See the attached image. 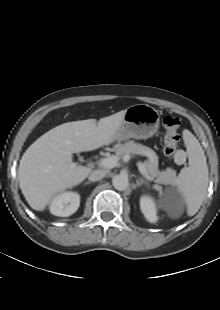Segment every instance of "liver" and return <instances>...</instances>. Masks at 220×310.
I'll list each match as a JSON object with an SVG mask.
<instances>
[{
    "label": "liver",
    "mask_w": 220,
    "mask_h": 310,
    "mask_svg": "<svg viewBox=\"0 0 220 310\" xmlns=\"http://www.w3.org/2000/svg\"><path fill=\"white\" fill-rule=\"evenodd\" d=\"M126 110L111 116L61 124L39 137L23 154L20 189L36 211H43L60 192L83 182L91 169L77 165L72 154L92 151L116 140Z\"/></svg>",
    "instance_id": "liver-1"
}]
</instances>
